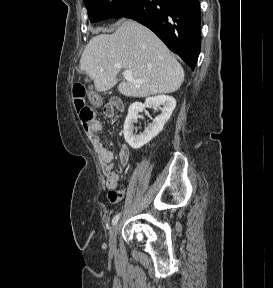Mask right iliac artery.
Here are the masks:
<instances>
[{
	"label": "right iliac artery",
	"instance_id": "obj_1",
	"mask_svg": "<svg viewBox=\"0 0 273 288\" xmlns=\"http://www.w3.org/2000/svg\"><path fill=\"white\" fill-rule=\"evenodd\" d=\"M121 214H117L116 216H114V218L112 219V224L115 225L117 224L119 218H120Z\"/></svg>",
	"mask_w": 273,
	"mask_h": 288
}]
</instances>
